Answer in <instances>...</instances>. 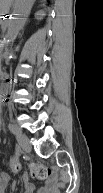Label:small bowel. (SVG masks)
Listing matches in <instances>:
<instances>
[{"label":"small bowel","instance_id":"small-bowel-1","mask_svg":"<svg viewBox=\"0 0 103 193\" xmlns=\"http://www.w3.org/2000/svg\"><path fill=\"white\" fill-rule=\"evenodd\" d=\"M23 182V193H59L60 183L56 175L47 179L43 186L36 188L35 185L29 180L28 175L25 173L22 176ZM0 186L3 192L7 189L10 193H15L17 190V183L11 182L10 175L8 173H1L0 175Z\"/></svg>","mask_w":103,"mask_h":193}]
</instances>
